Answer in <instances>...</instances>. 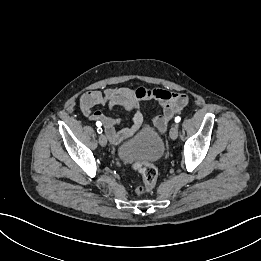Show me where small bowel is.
Listing matches in <instances>:
<instances>
[{"label": "small bowel", "mask_w": 261, "mask_h": 261, "mask_svg": "<svg viewBox=\"0 0 261 261\" xmlns=\"http://www.w3.org/2000/svg\"><path fill=\"white\" fill-rule=\"evenodd\" d=\"M151 100L156 101L161 108V112L153 117L154 127L160 133H164L173 116L180 113L188 104L186 94L168 89L114 87L86 92L81 96L79 105L81 113L90 121L101 122L109 139L117 143L142 127L141 105ZM96 106H107L109 109L117 106L124 108L133 115L132 126L117 130L121 120L107 116L99 110H94Z\"/></svg>", "instance_id": "1"}]
</instances>
